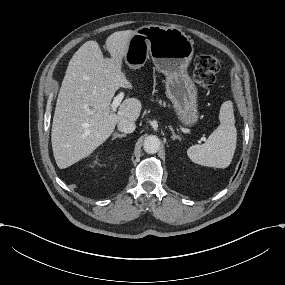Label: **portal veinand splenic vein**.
Segmentation results:
<instances>
[{
	"mask_svg": "<svg viewBox=\"0 0 285 285\" xmlns=\"http://www.w3.org/2000/svg\"><path fill=\"white\" fill-rule=\"evenodd\" d=\"M130 85H128L126 88H128ZM124 98V92H120L116 97H114L113 102L111 103V111L116 112L117 107L120 105L121 101Z\"/></svg>",
	"mask_w": 285,
	"mask_h": 285,
	"instance_id": "1",
	"label": "portal vein and splenic vein"
}]
</instances>
